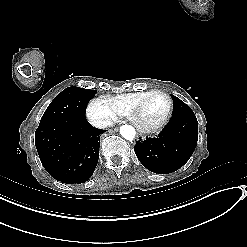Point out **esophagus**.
Instances as JSON below:
<instances>
[{
    "label": "esophagus",
    "mask_w": 247,
    "mask_h": 247,
    "mask_svg": "<svg viewBox=\"0 0 247 247\" xmlns=\"http://www.w3.org/2000/svg\"><path fill=\"white\" fill-rule=\"evenodd\" d=\"M137 140L138 141H144L145 140V136H143V135H137Z\"/></svg>",
    "instance_id": "obj_1"
}]
</instances>
